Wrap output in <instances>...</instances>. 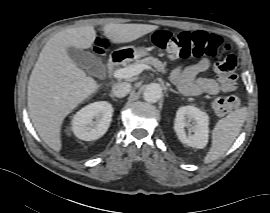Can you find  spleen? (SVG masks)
<instances>
[{"label": "spleen", "mask_w": 270, "mask_h": 213, "mask_svg": "<svg viewBox=\"0 0 270 213\" xmlns=\"http://www.w3.org/2000/svg\"><path fill=\"white\" fill-rule=\"evenodd\" d=\"M247 114L245 107L237 109L220 119L212 130V145L204 158L210 163L221 157L232 145L243 126Z\"/></svg>", "instance_id": "spleen-1"}]
</instances>
